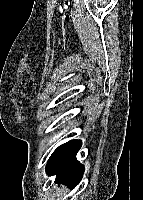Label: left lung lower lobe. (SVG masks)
<instances>
[{"mask_svg":"<svg viewBox=\"0 0 143 200\" xmlns=\"http://www.w3.org/2000/svg\"><path fill=\"white\" fill-rule=\"evenodd\" d=\"M81 145L80 140H71L53 152L47 162L46 171L49 176L56 175V182L69 187L78 185L84 173V166L76 160Z\"/></svg>","mask_w":143,"mask_h":200,"instance_id":"left-lung-lower-lobe-1","label":"left lung lower lobe"}]
</instances>
